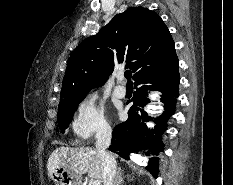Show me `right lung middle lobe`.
<instances>
[{
  "instance_id": "right-lung-middle-lobe-1",
  "label": "right lung middle lobe",
  "mask_w": 233,
  "mask_h": 185,
  "mask_svg": "<svg viewBox=\"0 0 233 185\" xmlns=\"http://www.w3.org/2000/svg\"><path fill=\"white\" fill-rule=\"evenodd\" d=\"M82 100L83 99L59 104L57 120L62 132H64L69 125L74 111Z\"/></svg>"
}]
</instances>
